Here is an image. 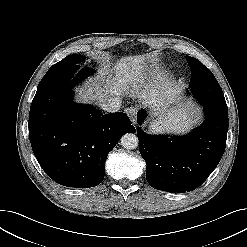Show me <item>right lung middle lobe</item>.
Masks as SVG:
<instances>
[{"label":"right lung middle lobe","instance_id":"obj_1","mask_svg":"<svg viewBox=\"0 0 247 247\" xmlns=\"http://www.w3.org/2000/svg\"><path fill=\"white\" fill-rule=\"evenodd\" d=\"M85 58L79 54H72L64 58L62 61L54 64L48 72L60 70V69H75L78 68L79 63L84 61Z\"/></svg>","mask_w":247,"mask_h":247}]
</instances>
